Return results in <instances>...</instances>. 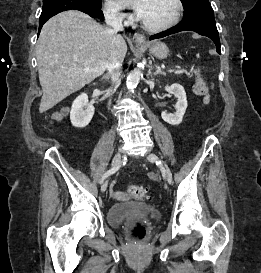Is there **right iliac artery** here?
<instances>
[{"label":"right iliac artery","instance_id":"obj_1","mask_svg":"<svg viewBox=\"0 0 261 273\" xmlns=\"http://www.w3.org/2000/svg\"><path fill=\"white\" fill-rule=\"evenodd\" d=\"M120 166H117L115 168H112L110 170H108L103 176H102V179H101V183L111 174L115 173L118 169H119Z\"/></svg>","mask_w":261,"mask_h":273}]
</instances>
